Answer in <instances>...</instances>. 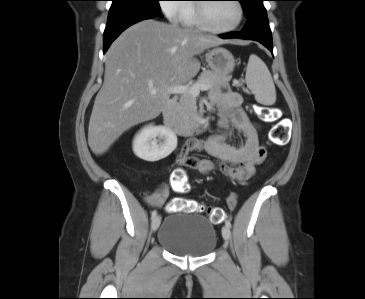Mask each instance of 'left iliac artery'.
<instances>
[{"label":"left iliac artery","instance_id":"44dca946","mask_svg":"<svg viewBox=\"0 0 365 299\" xmlns=\"http://www.w3.org/2000/svg\"><path fill=\"white\" fill-rule=\"evenodd\" d=\"M225 224L226 226L231 227V222L229 220H226Z\"/></svg>","mask_w":365,"mask_h":299}]
</instances>
